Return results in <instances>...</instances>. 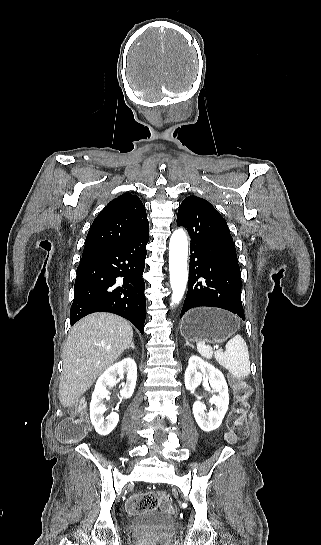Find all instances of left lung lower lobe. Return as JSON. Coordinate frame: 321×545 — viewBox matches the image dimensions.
I'll return each instance as SVG.
<instances>
[{"label": "left lung lower lobe", "instance_id": "obj_1", "mask_svg": "<svg viewBox=\"0 0 321 545\" xmlns=\"http://www.w3.org/2000/svg\"><path fill=\"white\" fill-rule=\"evenodd\" d=\"M177 225L190 237V276L181 311L218 307L245 320L241 302V271L225 219L210 203L179 207Z\"/></svg>", "mask_w": 321, "mask_h": 545}]
</instances>
